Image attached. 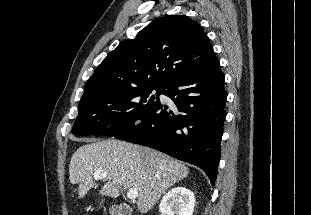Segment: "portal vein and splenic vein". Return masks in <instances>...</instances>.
Listing matches in <instances>:
<instances>
[{"label": "portal vein and splenic vein", "instance_id": "1", "mask_svg": "<svg viewBox=\"0 0 311 215\" xmlns=\"http://www.w3.org/2000/svg\"><path fill=\"white\" fill-rule=\"evenodd\" d=\"M94 179L99 180V179H104L107 177V173L103 170L101 171H96L94 173ZM138 196V191L136 189H129L127 192V197L131 200H135Z\"/></svg>", "mask_w": 311, "mask_h": 215}]
</instances>
